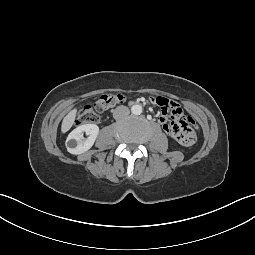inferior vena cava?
Masks as SVG:
<instances>
[{
  "label": "inferior vena cava",
  "instance_id": "obj_1",
  "mask_svg": "<svg viewBox=\"0 0 255 255\" xmlns=\"http://www.w3.org/2000/svg\"><path fill=\"white\" fill-rule=\"evenodd\" d=\"M129 113H130L129 108L122 105V106H118L117 108L114 109L113 117L115 119H120V118H123V117L129 115Z\"/></svg>",
  "mask_w": 255,
  "mask_h": 255
}]
</instances>
